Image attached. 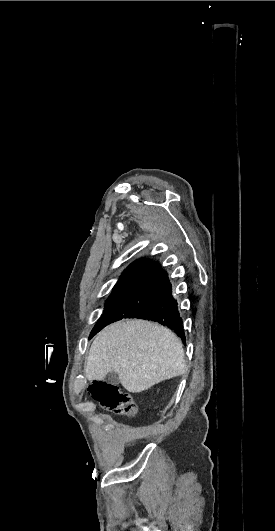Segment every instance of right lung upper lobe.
<instances>
[{"mask_svg":"<svg viewBox=\"0 0 275 531\" xmlns=\"http://www.w3.org/2000/svg\"><path fill=\"white\" fill-rule=\"evenodd\" d=\"M152 264L153 263L148 260H138L132 263L124 272L138 271V270L144 271Z\"/></svg>","mask_w":275,"mask_h":531,"instance_id":"right-lung-upper-lobe-1","label":"right lung upper lobe"}]
</instances>
